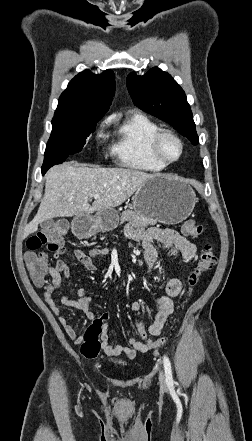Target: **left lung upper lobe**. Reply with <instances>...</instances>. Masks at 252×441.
<instances>
[{"label":"left lung upper lobe","instance_id":"5c2ea615","mask_svg":"<svg viewBox=\"0 0 252 441\" xmlns=\"http://www.w3.org/2000/svg\"><path fill=\"white\" fill-rule=\"evenodd\" d=\"M126 82L137 107L173 125L193 144L198 143L186 95L168 73L155 67L143 76L129 74Z\"/></svg>","mask_w":252,"mask_h":441}]
</instances>
